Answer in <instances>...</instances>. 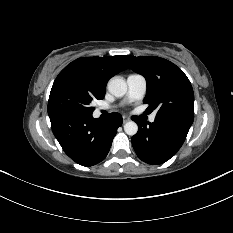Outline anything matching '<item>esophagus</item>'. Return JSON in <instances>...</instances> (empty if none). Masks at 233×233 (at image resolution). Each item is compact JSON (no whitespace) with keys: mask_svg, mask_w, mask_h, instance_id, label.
<instances>
[{"mask_svg":"<svg viewBox=\"0 0 233 233\" xmlns=\"http://www.w3.org/2000/svg\"><path fill=\"white\" fill-rule=\"evenodd\" d=\"M129 120H130V117H128V116H126V115L123 116V123H126V122H128Z\"/></svg>","mask_w":233,"mask_h":233,"instance_id":"obj_1","label":"esophagus"}]
</instances>
